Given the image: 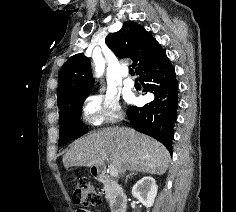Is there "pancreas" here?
Masks as SVG:
<instances>
[{
	"instance_id": "cf45deb5",
	"label": "pancreas",
	"mask_w": 236,
	"mask_h": 212,
	"mask_svg": "<svg viewBox=\"0 0 236 212\" xmlns=\"http://www.w3.org/2000/svg\"><path fill=\"white\" fill-rule=\"evenodd\" d=\"M104 190H105L106 199L110 200L111 198L110 190L106 186L104 187Z\"/></svg>"
}]
</instances>
